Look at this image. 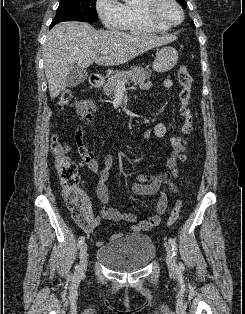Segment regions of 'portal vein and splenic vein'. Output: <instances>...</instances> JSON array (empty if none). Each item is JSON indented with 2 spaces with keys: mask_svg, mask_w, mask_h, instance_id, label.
I'll return each mask as SVG.
<instances>
[{
  "mask_svg": "<svg viewBox=\"0 0 245 314\" xmlns=\"http://www.w3.org/2000/svg\"><path fill=\"white\" fill-rule=\"evenodd\" d=\"M100 53H101L102 55H105V54L108 53V51H107V50H102ZM124 86H125V82H124V81H118V82H117V87H118V88H124Z\"/></svg>",
  "mask_w": 245,
  "mask_h": 314,
  "instance_id": "obj_1",
  "label": "portal vein and splenic vein"
}]
</instances>
